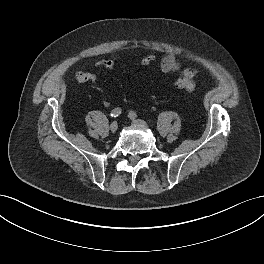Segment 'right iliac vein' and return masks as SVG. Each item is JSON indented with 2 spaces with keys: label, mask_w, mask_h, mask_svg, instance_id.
<instances>
[{
  "label": "right iliac vein",
  "mask_w": 264,
  "mask_h": 264,
  "mask_svg": "<svg viewBox=\"0 0 264 264\" xmlns=\"http://www.w3.org/2000/svg\"><path fill=\"white\" fill-rule=\"evenodd\" d=\"M117 129H118V124H117V122H112V123L110 124V130H111V132H116Z\"/></svg>",
  "instance_id": "63e3f726"
}]
</instances>
